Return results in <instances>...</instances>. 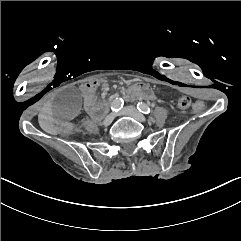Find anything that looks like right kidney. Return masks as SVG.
Here are the masks:
<instances>
[{"instance_id": "obj_1", "label": "right kidney", "mask_w": 241, "mask_h": 241, "mask_svg": "<svg viewBox=\"0 0 241 241\" xmlns=\"http://www.w3.org/2000/svg\"><path fill=\"white\" fill-rule=\"evenodd\" d=\"M80 128H81V122L77 121L74 125V130L77 132L80 130Z\"/></svg>"}]
</instances>
